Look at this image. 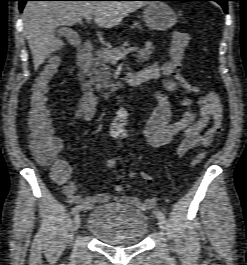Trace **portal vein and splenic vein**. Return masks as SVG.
I'll return each instance as SVG.
<instances>
[{
    "mask_svg": "<svg viewBox=\"0 0 247 265\" xmlns=\"http://www.w3.org/2000/svg\"><path fill=\"white\" fill-rule=\"evenodd\" d=\"M86 21H90L92 18L91 16H86L85 17ZM138 50L137 47H130L128 49H125L124 51H122L119 54H112V53H106L108 59L113 62V63H117L119 60H121L122 58H124L126 55H128L129 53H133L136 52Z\"/></svg>",
    "mask_w": 247,
    "mask_h": 265,
    "instance_id": "18ae733b",
    "label": "portal vein and splenic vein"
}]
</instances>
